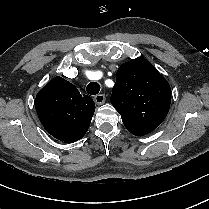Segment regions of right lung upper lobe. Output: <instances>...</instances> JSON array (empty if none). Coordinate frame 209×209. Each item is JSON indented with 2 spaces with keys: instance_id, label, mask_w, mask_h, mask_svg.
Here are the masks:
<instances>
[{
  "instance_id": "1",
  "label": "right lung upper lobe",
  "mask_w": 209,
  "mask_h": 209,
  "mask_svg": "<svg viewBox=\"0 0 209 209\" xmlns=\"http://www.w3.org/2000/svg\"><path fill=\"white\" fill-rule=\"evenodd\" d=\"M35 108L45 130L56 139L70 143L87 132L95 103L90 96L81 95L72 83L57 76L38 92Z\"/></svg>"
}]
</instances>
